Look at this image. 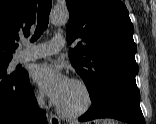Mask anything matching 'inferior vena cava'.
Here are the masks:
<instances>
[{
	"label": "inferior vena cava",
	"instance_id": "602c4592",
	"mask_svg": "<svg viewBox=\"0 0 156 124\" xmlns=\"http://www.w3.org/2000/svg\"><path fill=\"white\" fill-rule=\"evenodd\" d=\"M37 101H38V104L40 107H43L44 106V100H43V97L42 96H39L37 98Z\"/></svg>",
	"mask_w": 156,
	"mask_h": 124
}]
</instances>
